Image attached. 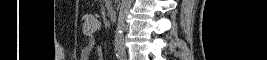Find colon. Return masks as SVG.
Masks as SVG:
<instances>
[{
    "instance_id": "5ec220e1",
    "label": "colon",
    "mask_w": 267,
    "mask_h": 60,
    "mask_svg": "<svg viewBox=\"0 0 267 60\" xmlns=\"http://www.w3.org/2000/svg\"><path fill=\"white\" fill-rule=\"evenodd\" d=\"M99 27L98 20L91 14H86L83 17V31L86 34H91L96 31Z\"/></svg>"
}]
</instances>
